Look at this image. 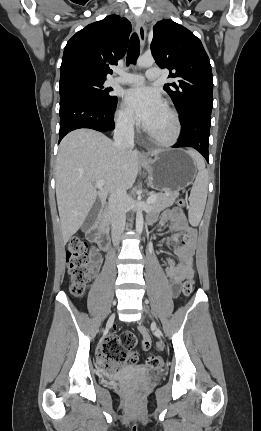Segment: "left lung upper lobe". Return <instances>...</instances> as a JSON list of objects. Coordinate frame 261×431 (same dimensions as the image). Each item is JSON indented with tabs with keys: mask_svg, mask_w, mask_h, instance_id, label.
Wrapping results in <instances>:
<instances>
[{
	"mask_svg": "<svg viewBox=\"0 0 261 431\" xmlns=\"http://www.w3.org/2000/svg\"><path fill=\"white\" fill-rule=\"evenodd\" d=\"M151 52L157 65L177 81L164 85L180 119L199 108L213 107V76L208 55L191 31L171 20L154 26Z\"/></svg>",
	"mask_w": 261,
	"mask_h": 431,
	"instance_id": "1",
	"label": "left lung upper lobe"
}]
</instances>
